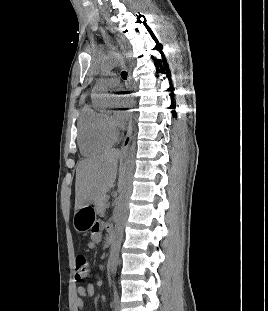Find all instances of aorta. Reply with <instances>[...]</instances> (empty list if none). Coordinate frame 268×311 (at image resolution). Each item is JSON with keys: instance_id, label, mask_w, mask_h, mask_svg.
Segmentation results:
<instances>
[{"instance_id": "1", "label": "aorta", "mask_w": 268, "mask_h": 311, "mask_svg": "<svg viewBox=\"0 0 268 311\" xmlns=\"http://www.w3.org/2000/svg\"><path fill=\"white\" fill-rule=\"evenodd\" d=\"M123 63H124L123 56L115 54L104 59L97 66L96 69L99 73L105 74L120 67ZM129 70H132V67H129ZM135 90H138V87H135ZM109 101L110 97L107 94L99 93L97 95L98 103L107 105ZM135 154H136V141L133 139L132 145L128 153L126 164L120 175L118 183L119 196L117 198V205L115 208V226L108 260V266L112 273H115L118 265L119 250L121 247L124 226L127 218L129 199L132 192V181L135 168Z\"/></svg>"}]
</instances>
